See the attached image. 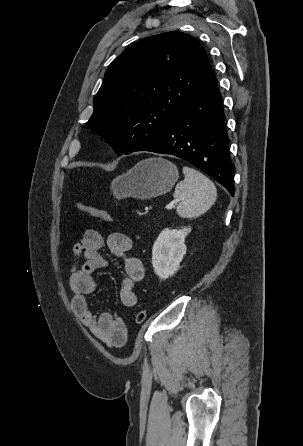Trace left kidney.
<instances>
[{
    "label": "left kidney",
    "instance_id": "5707ae66",
    "mask_svg": "<svg viewBox=\"0 0 303 446\" xmlns=\"http://www.w3.org/2000/svg\"><path fill=\"white\" fill-rule=\"evenodd\" d=\"M191 232L190 227L183 229H164L156 239L152 249L154 272L161 279L174 275L186 254L185 238Z\"/></svg>",
    "mask_w": 303,
    "mask_h": 446
}]
</instances>
